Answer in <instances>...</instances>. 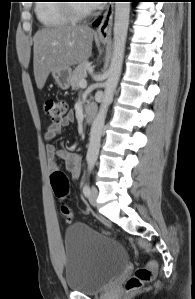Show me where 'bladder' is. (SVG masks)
Masks as SVG:
<instances>
[{
  "label": "bladder",
  "mask_w": 195,
  "mask_h": 299,
  "mask_svg": "<svg viewBox=\"0 0 195 299\" xmlns=\"http://www.w3.org/2000/svg\"><path fill=\"white\" fill-rule=\"evenodd\" d=\"M67 288L94 294L114 280L127 266L128 257L119 242L84 224L67 228L64 238Z\"/></svg>",
  "instance_id": "31cf9c89"
}]
</instances>
